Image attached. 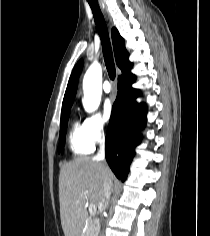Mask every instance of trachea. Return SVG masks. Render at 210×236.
<instances>
[{
    "mask_svg": "<svg viewBox=\"0 0 210 236\" xmlns=\"http://www.w3.org/2000/svg\"><path fill=\"white\" fill-rule=\"evenodd\" d=\"M88 3L92 9L96 27L98 29V33L101 39L102 50L108 75L111 80H114L116 75L115 64L105 19L100 10L97 0H88Z\"/></svg>",
    "mask_w": 210,
    "mask_h": 236,
    "instance_id": "trachea-1",
    "label": "trachea"
}]
</instances>
